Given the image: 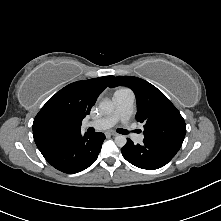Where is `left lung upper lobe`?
Returning <instances> with one entry per match:
<instances>
[{"label":"left lung upper lobe","instance_id":"left-lung-upper-lobe-1","mask_svg":"<svg viewBox=\"0 0 221 221\" xmlns=\"http://www.w3.org/2000/svg\"><path fill=\"white\" fill-rule=\"evenodd\" d=\"M123 85L133 90L137 99L136 119L143 124L144 140L182 145L186 125L171 101L149 82L133 76H118L111 86Z\"/></svg>","mask_w":221,"mask_h":221}]
</instances>
